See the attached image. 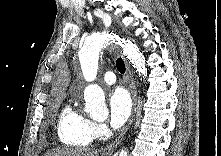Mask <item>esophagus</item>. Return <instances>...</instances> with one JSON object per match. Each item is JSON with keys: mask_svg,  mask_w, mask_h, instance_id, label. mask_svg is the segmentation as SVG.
<instances>
[{"mask_svg": "<svg viewBox=\"0 0 221 156\" xmlns=\"http://www.w3.org/2000/svg\"><path fill=\"white\" fill-rule=\"evenodd\" d=\"M124 62H125V66H126V76H127V81H128V84H129V90H130V93H131L132 99H133L132 116H131V119H130L127 127L122 131L120 136L104 148V150L102 152V156H111L112 153L116 150L117 146L122 141V139L124 137V134L126 133L128 128L130 127L132 122L134 121L136 110H137V90H136L134 77H133V74L131 72L130 66H129V64L126 61L125 58H124Z\"/></svg>", "mask_w": 221, "mask_h": 156, "instance_id": "esophagus-1", "label": "esophagus"}]
</instances>
